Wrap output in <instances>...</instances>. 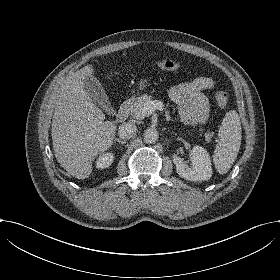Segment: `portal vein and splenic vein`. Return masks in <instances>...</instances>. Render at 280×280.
<instances>
[{
    "label": "portal vein and splenic vein",
    "instance_id": "1",
    "mask_svg": "<svg viewBox=\"0 0 280 280\" xmlns=\"http://www.w3.org/2000/svg\"><path fill=\"white\" fill-rule=\"evenodd\" d=\"M162 106V103L160 101H150L146 103L144 111L146 112H152L154 111L157 107Z\"/></svg>",
    "mask_w": 280,
    "mask_h": 280
}]
</instances>
